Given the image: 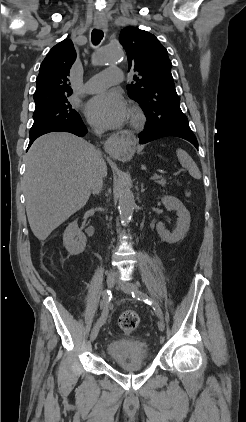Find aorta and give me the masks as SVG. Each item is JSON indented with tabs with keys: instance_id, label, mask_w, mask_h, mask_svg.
Returning a JSON list of instances; mask_svg holds the SVG:
<instances>
[{
	"instance_id": "obj_1",
	"label": "aorta",
	"mask_w": 246,
	"mask_h": 422,
	"mask_svg": "<svg viewBox=\"0 0 246 422\" xmlns=\"http://www.w3.org/2000/svg\"><path fill=\"white\" fill-rule=\"evenodd\" d=\"M124 58V52L121 47L103 46L93 56L95 65L119 63ZM119 214L123 224H127L132 216L135 207L134 195L128 181L123 178L119 188Z\"/></svg>"
}]
</instances>
